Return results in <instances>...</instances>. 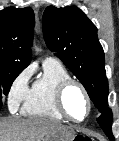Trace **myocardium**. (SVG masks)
I'll return each instance as SVG.
<instances>
[{
    "mask_svg": "<svg viewBox=\"0 0 119 141\" xmlns=\"http://www.w3.org/2000/svg\"><path fill=\"white\" fill-rule=\"evenodd\" d=\"M72 86H76L82 91V93L86 99V102H87V113L80 120L72 118L69 115V113L67 112V110L65 108V104H64L65 94H66L67 90ZM55 104H56V108H57L58 112L63 116V118H65L71 122H74V123H81V122L85 121L89 117L91 110H92V100H91V97H90L87 89L85 88V86L81 82H79L75 79H72V78L62 81L57 86L56 91H55Z\"/></svg>",
    "mask_w": 119,
    "mask_h": 141,
    "instance_id": "myocardium-1",
    "label": "myocardium"
}]
</instances>
